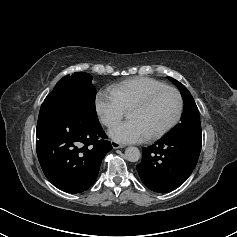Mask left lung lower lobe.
<instances>
[{"label":"left lung lower lobe","instance_id":"obj_1","mask_svg":"<svg viewBox=\"0 0 237 237\" xmlns=\"http://www.w3.org/2000/svg\"><path fill=\"white\" fill-rule=\"evenodd\" d=\"M201 141V134L165 137L143 148L142 162L136 166L142 182L158 193L178 188L197 164Z\"/></svg>","mask_w":237,"mask_h":237}]
</instances>
